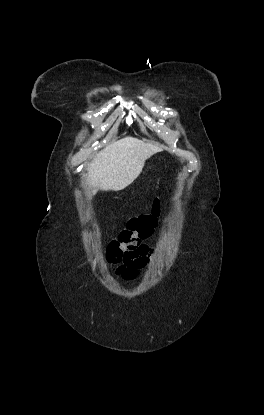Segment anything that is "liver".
I'll list each match as a JSON object with an SVG mask.
<instances>
[{"label": "liver", "instance_id": "liver-1", "mask_svg": "<svg viewBox=\"0 0 264 415\" xmlns=\"http://www.w3.org/2000/svg\"><path fill=\"white\" fill-rule=\"evenodd\" d=\"M161 148L137 138L125 137L107 145L87 165L86 185L97 190L119 191L129 186L142 172L145 161Z\"/></svg>", "mask_w": 264, "mask_h": 415}]
</instances>
